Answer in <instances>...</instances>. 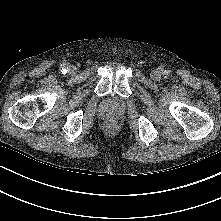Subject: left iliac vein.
I'll use <instances>...</instances> for the list:
<instances>
[{
    "mask_svg": "<svg viewBox=\"0 0 221 221\" xmlns=\"http://www.w3.org/2000/svg\"><path fill=\"white\" fill-rule=\"evenodd\" d=\"M150 76H151L152 80L158 81L161 78V72L158 69H154V70H152Z\"/></svg>",
    "mask_w": 221,
    "mask_h": 221,
    "instance_id": "4c4485c4",
    "label": "left iliac vein"
}]
</instances>
